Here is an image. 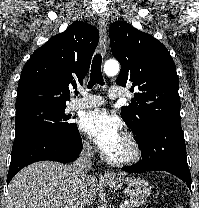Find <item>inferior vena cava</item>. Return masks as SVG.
Here are the masks:
<instances>
[{
	"mask_svg": "<svg viewBox=\"0 0 199 208\" xmlns=\"http://www.w3.org/2000/svg\"><path fill=\"white\" fill-rule=\"evenodd\" d=\"M93 147L86 143L79 158L71 165L73 171L79 177H85L92 168ZM79 208H84L81 204Z\"/></svg>",
	"mask_w": 199,
	"mask_h": 208,
	"instance_id": "602c4592",
	"label": "inferior vena cava"
}]
</instances>
